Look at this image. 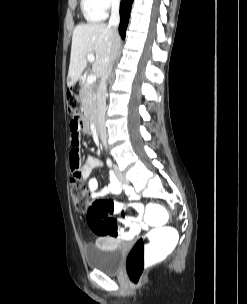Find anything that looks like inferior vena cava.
I'll list each match as a JSON object with an SVG mask.
<instances>
[{
  "instance_id": "obj_1",
  "label": "inferior vena cava",
  "mask_w": 247,
  "mask_h": 304,
  "mask_svg": "<svg viewBox=\"0 0 247 304\" xmlns=\"http://www.w3.org/2000/svg\"><path fill=\"white\" fill-rule=\"evenodd\" d=\"M119 4L120 0H112V7H111V16L109 20V27L116 29L120 22L119 16ZM118 49V44L115 45V49L113 50V55L111 58V62L101 78L98 91H97V127L100 133V139L105 148H107V133H106V126H105V111H106V81L111 73L112 70V62L116 57Z\"/></svg>"
}]
</instances>
